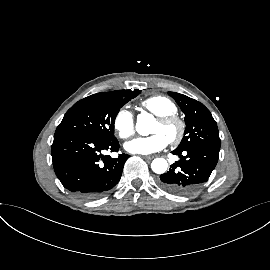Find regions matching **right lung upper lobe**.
Segmentation results:
<instances>
[{
	"mask_svg": "<svg viewBox=\"0 0 270 270\" xmlns=\"http://www.w3.org/2000/svg\"><path fill=\"white\" fill-rule=\"evenodd\" d=\"M128 92H132L131 90H116V91H112V93H128Z\"/></svg>",
	"mask_w": 270,
	"mask_h": 270,
	"instance_id": "right-lung-upper-lobe-1",
	"label": "right lung upper lobe"
}]
</instances>
